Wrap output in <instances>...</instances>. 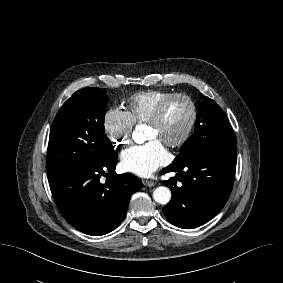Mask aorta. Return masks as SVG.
I'll return each instance as SVG.
<instances>
[{
  "mask_svg": "<svg viewBox=\"0 0 283 283\" xmlns=\"http://www.w3.org/2000/svg\"><path fill=\"white\" fill-rule=\"evenodd\" d=\"M132 137L134 141L137 143L142 142L144 140V135L141 132V129L139 126L136 127L135 131L133 132ZM153 198L157 203L166 205L167 203H169L171 199V191L168 187L159 186L154 190Z\"/></svg>",
  "mask_w": 283,
  "mask_h": 283,
  "instance_id": "aorta-1",
  "label": "aorta"
}]
</instances>
